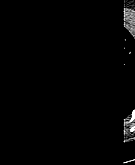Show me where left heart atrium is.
I'll list each match as a JSON object with an SVG mask.
<instances>
[{
    "instance_id": "left-heart-atrium-1",
    "label": "left heart atrium",
    "mask_w": 135,
    "mask_h": 165,
    "mask_svg": "<svg viewBox=\"0 0 135 165\" xmlns=\"http://www.w3.org/2000/svg\"><path fill=\"white\" fill-rule=\"evenodd\" d=\"M80 69V66L77 64H69L64 68V71L68 74H73Z\"/></svg>"
}]
</instances>
